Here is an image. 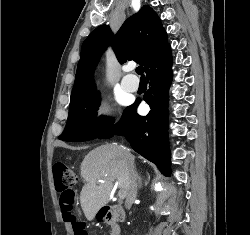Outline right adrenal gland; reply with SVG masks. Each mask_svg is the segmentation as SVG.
<instances>
[{"label": "right adrenal gland", "instance_id": "right-adrenal-gland-1", "mask_svg": "<svg viewBox=\"0 0 250 235\" xmlns=\"http://www.w3.org/2000/svg\"><path fill=\"white\" fill-rule=\"evenodd\" d=\"M137 177H138L139 188H141L142 187V178L139 174H137Z\"/></svg>", "mask_w": 250, "mask_h": 235}]
</instances>
